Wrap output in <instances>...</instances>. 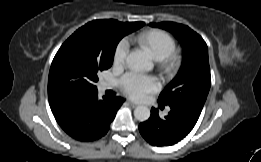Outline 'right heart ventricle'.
<instances>
[{
	"label": "right heart ventricle",
	"instance_id": "right-heart-ventricle-1",
	"mask_svg": "<svg viewBox=\"0 0 261 162\" xmlns=\"http://www.w3.org/2000/svg\"><path fill=\"white\" fill-rule=\"evenodd\" d=\"M140 47L146 49L154 59L161 60L175 50V41L163 30L151 29L132 38Z\"/></svg>",
	"mask_w": 261,
	"mask_h": 162
}]
</instances>
